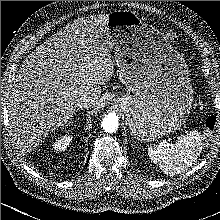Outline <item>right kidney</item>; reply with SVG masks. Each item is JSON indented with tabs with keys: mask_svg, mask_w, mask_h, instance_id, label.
<instances>
[{
	"mask_svg": "<svg viewBox=\"0 0 220 220\" xmlns=\"http://www.w3.org/2000/svg\"><path fill=\"white\" fill-rule=\"evenodd\" d=\"M72 140V136H63L61 138H59L58 140H56V142L54 143V149L56 151H64L67 149V147L69 146L70 142Z\"/></svg>",
	"mask_w": 220,
	"mask_h": 220,
	"instance_id": "1",
	"label": "right kidney"
}]
</instances>
